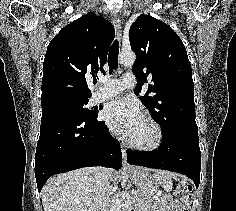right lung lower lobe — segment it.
I'll use <instances>...</instances> for the list:
<instances>
[{
    "label": "right lung lower lobe",
    "mask_w": 236,
    "mask_h": 211,
    "mask_svg": "<svg viewBox=\"0 0 236 211\" xmlns=\"http://www.w3.org/2000/svg\"><path fill=\"white\" fill-rule=\"evenodd\" d=\"M119 169L122 152L104 121L66 113L42 115L35 155L38 191L51 176L90 166Z\"/></svg>",
    "instance_id": "right-lung-lower-lobe-1"
}]
</instances>
